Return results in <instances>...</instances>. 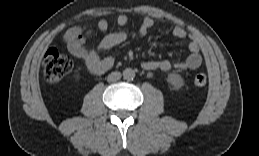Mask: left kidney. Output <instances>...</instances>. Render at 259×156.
Instances as JSON below:
<instances>
[{
    "mask_svg": "<svg viewBox=\"0 0 259 156\" xmlns=\"http://www.w3.org/2000/svg\"><path fill=\"white\" fill-rule=\"evenodd\" d=\"M168 82L173 86L174 89H180L184 86L183 78L176 73H170L168 75Z\"/></svg>",
    "mask_w": 259,
    "mask_h": 156,
    "instance_id": "5707ae66",
    "label": "left kidney"
}]
</instances>
